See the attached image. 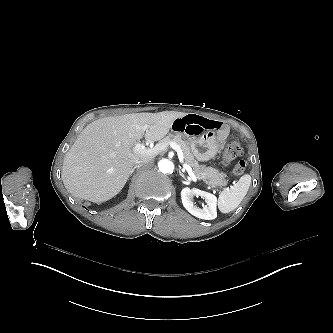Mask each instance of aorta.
Returning <instances> with one entry per match:
<instances>
[{"mask_svg": "<svg viewBox=\"0 0 333 333\" xmlns=\"http://www.w3.org/2000/svg\"><path fill=\"white\" fill-rule=\"evenodd\" d=\"M158 168L163 174H168L174 170V164L168 159H163L159 161Z\"/></svg>", "mask_w": 333, "mask_h": 333, "instance_id": "762f6f07", "label": "aorta"}]
</instances>
